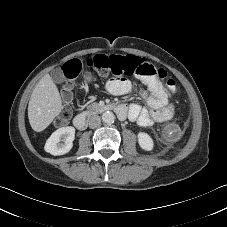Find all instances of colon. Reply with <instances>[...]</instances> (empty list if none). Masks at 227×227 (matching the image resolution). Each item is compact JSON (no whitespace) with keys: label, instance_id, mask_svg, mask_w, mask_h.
<instances>
[{"label":"colon","instance_id":"5ec220e1","mask_svg":"<svg viewBox=\"0 0 227 227\" xmlns=\"http://www.w3.org/2000/svg\"><path fill=\"white\" fill-rule=\"evenodd\" d=\"M88 66L94 68L102 75H138L148 79H166V72L162 68H157L149 63L144 62L142 59L133 56H119V55H103L97 54L87 60ZM82 64L77 59L68 61L62 68L65 83L62 88V98L64 102H68L74 85L73 80L79 74ZM166 87L174 92L177 85L175 80L168 79L165 81ZM72 111L70 108H65L61 115L56 120L58 126H63L71 117ZM184 131V127L181 128Z\"/></svg>","mask_w":227,"mask_h":227}]
</instances>
